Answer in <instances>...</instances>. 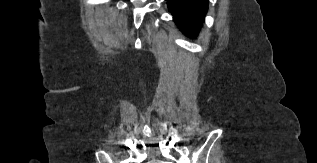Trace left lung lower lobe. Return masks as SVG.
Listing matches in <instances>:
<instances>
[{
    "mask_svg": "<svg viewBox=\"0 0 317 163\" xmlns=\"http://www.w3.org/2000/svg\"><path fill=\"white\" fill-rule=\"evenodd\" d=\"M167 4L182 32L196 37L208 10V0H167Z\"/></svg>",
    "mask_w": 317,
    "mask_h": 163,
    "instance_id": "1",
    "label": "left lung lower lobe"
}]
</instances>
